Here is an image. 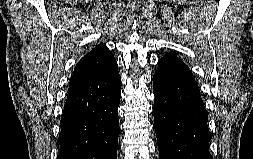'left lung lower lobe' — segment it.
Wrapping results in <instances>:
<instances>
[{
    "label": "left lung lower lobe",
    "mask_w": 253,
    "mask_h": 159,
    "mask_svg": "<svg viewBox=\"0 0 253 159\" xmlns=\"http://www.w3.org/2000/svg\"><path fill=\"white\" fill-rule=\"evenodd\" d=\"M153 94L159 159H212L199 87L188 66L175 55L166 54L158 61Z\"/></svg>",
    "instance_id": "0a47b994"
}]
</instances>
